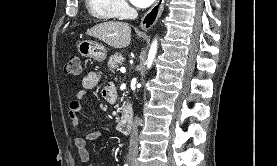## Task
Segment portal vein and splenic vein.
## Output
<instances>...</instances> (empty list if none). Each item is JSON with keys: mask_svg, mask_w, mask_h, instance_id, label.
I'll return each instance as SVG.
<instances>
[{"mask_svg": "<svg viewBox=\"0 0 277 166\" xmlns=\"http://www.w3.org/2000/svg\"><path fill=\"white\" fill-rule=\"evenodd\" d=\"M121 72H125V68L122 67V68H121Z\"/></svg>", "mask_w": 277, "mask_h": 166, "instance_id": "1", "label": "portal vein and splenic vein"}]
</instances>
